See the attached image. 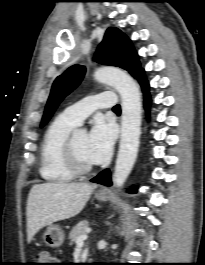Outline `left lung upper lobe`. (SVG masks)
I'll return each mask as SVG.
<instances>
[{
    "instance_id": "left-lung-upper-lobe-1",
    "label": "left lung upper lobe",
    "mask_w": 205,
    "mask_h": 265,
    "mask_svg": "<svg viewBox=\"0 0 205 265\" xmlns=\"http://www.w3.org/2000/svg\"><path fill=\"white\" fill-rule=\"evenodd\" d=\"M95 60L104 65L123 68L136 79L143 70L131 41L124 33L114 27L107 29L95 54ZM85 71L84 66L73 65L56 78L45 107L41 127L49 121L63 98L80 84Z\"/></svg>"
}]
</instances>
